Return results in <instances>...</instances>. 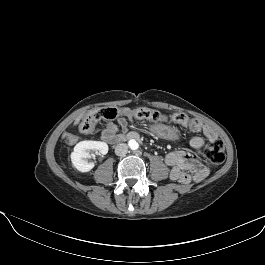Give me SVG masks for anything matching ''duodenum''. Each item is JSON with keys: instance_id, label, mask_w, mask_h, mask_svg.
I'll return each mask as SVG.
<instances>
[{"instance_id": "duodenum-1", "label": "duodenum", "mask_w": 265, "mask_h": 265, "mask_svg": "<svg viewBox=\"0 0 265 265\" xmlns=\"http://www.w3.org/2000/svg\"><path fill=\"white\" fill-rule=\"evenodd\" d=\"M130 139L139 140L140 136L137 133H135V132H130V133L122 136L120 141L121 142H125V141L130 140Z\"/></svg>"}]
</instances>
